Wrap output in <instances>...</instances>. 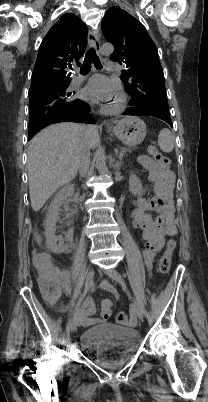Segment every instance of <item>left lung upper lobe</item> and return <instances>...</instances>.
I'll return each mask as SVG.
<instances>
[{"label": "left lung upper lobe", "instance_id": "5c2ea615", "mask_svg": "<svg viewBox=\"0 0 208 402\" xmlns=\"http://www.w3.org/2000/svg\"><path fill=\"white\" fill-rule=\"evenodd\" d=\"M101 28L115 47L110 59L125 66L120 78L131 95L130 106L169 115L158 51L142 23L121 8L112 7L106 12Z\"/></svg>", "mask_w": 208, "mask_h": 402}]
</instances>
